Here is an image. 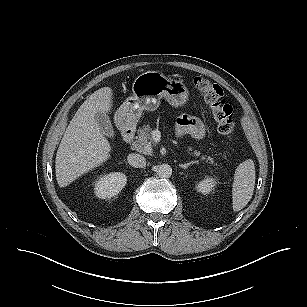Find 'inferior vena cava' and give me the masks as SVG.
Wrapping results in <instances>:
<instances>
[{
	"mask_svg": "<svg viewBox=\"0 0 307 307\" xmlns=\"http://www.w3.org/2000/svg\"><path fill=\"white\" fill-rule=\"evenodd\" d=\"M128 163L136 168H144L146 166V159L144 156L139 154H129L127 156Z\"/></svg>",
	"mask_w": 307,
	"mask_h": 307,
	"instance_id": "inferior-vena-cava-1",
	"label": "inferior vena cava"
}]
</instances>
